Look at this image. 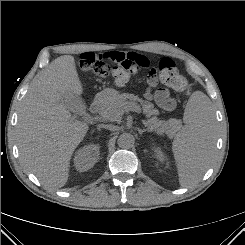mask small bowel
I'll return each mask as SVG.
<instances>
[{"label": "small bowel", "instance_id": "obj_1", "mask_svg": "<svg viewBox=\"0 0 245 245\" xmlns=\"http://www.w3.org/2000/svg\"><path fill=\"white\" fill-rule=\"evenodd\" d=\"M104 60L107 61H114L117 62L121 60L123 57L130 56L134 59H136L141 67H148L149 66V60L143 55H139L136 53H122L117 51L112 52H105L99 54ZM155 81L150 80V88L146 93V97L148 99H154L155 102L158 104L159 107H161L164 110L171 111L176 106V101L174 98L171 97L169 91L164 88H160L154 92H152V88L155 86Z\"/></svg>", "mask_w": 245, "mask_h": 245}]
</instances>
